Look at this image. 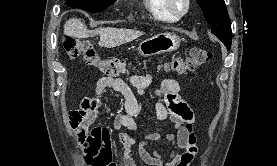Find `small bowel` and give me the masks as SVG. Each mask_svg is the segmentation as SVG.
Here are the masks:
<instances>
[{
    "label": "small bowel",
    "instance_id": "obj_1",
    "mask_svg": "<svg viewBox=\"0 0 277 166\" xmlns=\"http://www.w3.org/2000/svg\"><path fill=\"white\" fill-rule=\"evenodd\" d=\"M151 82L150 74L132 75L127 81L121 78L102 77L96 83L94 96L83 99L80 109L70 113L71 127L76 119L75 112L81 113L87 126L90 127L98 116V105L107 89L119 93L124 99V111L118 112L113 120V128L118 132L117 139L122 147V165L113 160L115 141L110 129L97 126L81 140L85 159L91 166H136L135 153L149 166L191 165L198 154L197 137L193 129L195 116L193 110L180 97V86L176 80L164 79L160 83L157 92L159 99L155 104L157 120L169 119L175 132H150L140 141L133 135L137 127L135 118L142 109L137 96L146 95V89ZM160 140H166L173 146L168 156L157 147H153L152 151L148 150L150 144Z\"/></svg>",
    "mask_w": 277,
    "mask_h": 166
}]
</instances>
